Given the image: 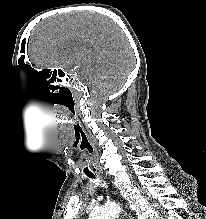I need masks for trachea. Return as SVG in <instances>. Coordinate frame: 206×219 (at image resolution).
Segmentation results:
<instances>
[{
    "label": "trachea",
    "mask_w": 206,
    "mask_h": 219,
    "mask_svg": "<svg viewBox=\"0 0 206 219\" xmlns=\"http://www.w3.org/2000/svg\"><path fill=\"white\" fill-rule=\"evenodd\" d=\"M88 177L91 178V179L95 178V176L93 174H88Z\"/></svg>",
    "instance_id": "obj_1"
}]
</instances>
